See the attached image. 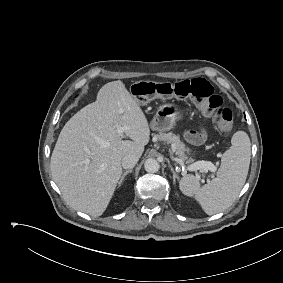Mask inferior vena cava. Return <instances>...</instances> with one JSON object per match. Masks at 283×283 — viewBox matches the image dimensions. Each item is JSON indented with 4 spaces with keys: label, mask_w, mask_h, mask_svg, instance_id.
I'll list each match as a JSON object with an SVG mask.
<instances>
[{
    "label": "inferior vena cava",
    "mask_w": 283,
    "mask_h": 283,
    "mask_svg": "<svg viewBox=\"0 0 283 283\" xmlns=\"http://www.w3.org/2000/svg\"><path fill=\"white\" fill-rule=\"evenodd\" d=\"M139 156L136 154H127L122 158L121 164L124 169H130L138 162Z\"/></svg>",
    "instance_id": "1"
}]
</instances>
